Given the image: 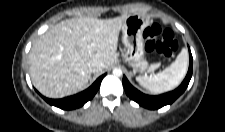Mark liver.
<instances>
[{"instance_id": "1", "label": "liver", "mask_w": 225, "mask_h": 132, "mask_svg": "<svg viewBox=\"0 0 225 132\" xmlns=\"http://www.w3.org/2000/svg\"><path fill=\"white\" fill-rule=\"evenodd\" d=\"M128 16L73 18L50 27L29 53L35 88L49 98L81 91L91 80L89 65L93 60L102 61L106 69L116 61L119 32Z\"/></svg>"}]
</instances>
